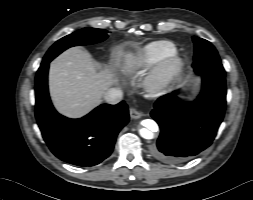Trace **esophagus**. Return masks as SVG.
<instances>
[{
	"instance_id": "obj_1",
	"label": "esophagus",
	"mask_w": 253,
	"mask_h": 200,
	"mask_svg": "<svg viewBox=\"0 0 253 200\" xmlns=\"http://www.w3.org/2000/svg\"><path fill=\"white\" fill-rule=\"evenodd\" d=\"M129 114H130L131 118H133V119H139L142 117V113L135 108H130Z\"/></svg>"
}]
</instances>
